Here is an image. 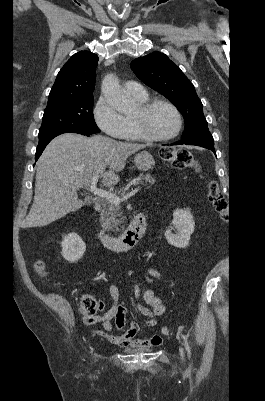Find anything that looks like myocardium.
Returning <instances> with one entry per match:
<instances>
[{
  "label": "myocardium",
  "instance_id": "myocardium-1",
  "mask_svg": "<svg viewBox=\"0 0 265 401\" xmlns=\"http://www.w3.org/2000/svg\"><path fill=\"white\" fill-rule=\"evenodd\" d=\"M157 105H164V106L168 107L169 109H171L173 111V113L175 114V116L177 118V129L172 135L164 136V137H153V136H150L146 132L144 125H143L142 118L145 115H147ZM135 127H136L138 134L140 135V138L145 141H148V142L169 141V140L176 138L181 133L182 128H183V118H182V115H181L179 109L171 102L166 101V100H161V99H153V100H148L145 103L139 104V110L135 116Z\"/></svg>",
  "mask_w": 265,
  "mask_h": 401
}]
</instances>
